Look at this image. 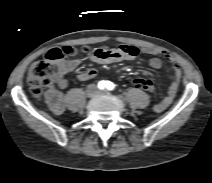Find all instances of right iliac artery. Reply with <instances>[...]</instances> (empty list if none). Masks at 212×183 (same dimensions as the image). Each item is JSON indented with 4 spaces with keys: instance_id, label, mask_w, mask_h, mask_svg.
<instances>
[{
    "instance_id": "obj_1",
    "label": "right iliac artery",
    "mask_w": 212,
    "mask_h": 183,
    "mask_svg": "<svg viewBox=\"0 0 212 183\" xmlns=\"http://www.w3.org/2000/svg\"><path fill=\"white\" fill-rule=\"evenodd\" d=\"M105 85H106V82H105V81H100V82L98 83V87H99L100 89H104V88H105Z\"/></svg>"
}]
</instances>
